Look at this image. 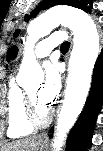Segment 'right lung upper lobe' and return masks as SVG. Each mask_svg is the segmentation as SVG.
<instances>
[{
	"mask_svg": "<svg viewBox=\"0 0 103 151\" xmlns=\"http://www.w3.org/2000/svg\"><path fill=\"white\" fill-rule=\"evenodd\" d=\"M19 31L17 30L14 34V36L16 37L18 35ZM17 47L16 46H12L11 48L8 49L7 51V61L9 60H13L16 55H17Z\"/></svg>",
	"mask_w": 103,
	"mask_h": 151,
	"instance_id": "obj_1",
	"label": "right lung upper lobe"
}]
</instances>
